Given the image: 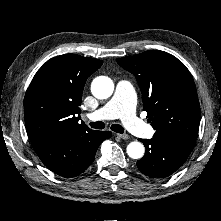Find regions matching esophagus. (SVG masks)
I'll list each match as a JSON object with an SVG mask.
<instances>
[{
  "label": "esophagus",
  "instance_id": "34e87169",
  "mask_svg": "<svg viewBox=\"0 0 221 221\" xmlns=\"http://www.w3.org/2000/svg\"><path fill=\"white\" fill-rule=\"evenodd\" d=\"M117 136L121 139H124V140H127L130 138L128 134H117Z\"/></svg>",
  "mask_w": 221,
  "mask_h": 221
}]
</instances>
